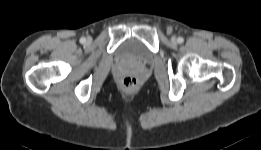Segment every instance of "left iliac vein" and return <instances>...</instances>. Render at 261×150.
<instances>
[{
	"label": "left iliac vein",
	"mask_w": 261,
	"mask_h": 150,
	"mask_svg": "<svg viewBox=\"0 0 261 150\" xmlns=\"http://www.w3.org/2000/svg\"><path fill=\"white\" fill-rule=\"evenodd\" d=\"M171 42H172L173 44H176V43H177L176 37L173 36V37L171 38Z\"/></svg>",
	"instance_id": "4c4485c4"
}]
</instances>
